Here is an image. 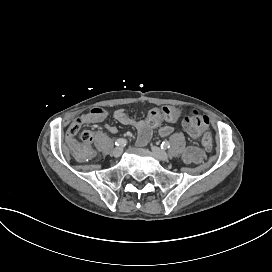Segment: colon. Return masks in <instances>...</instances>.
Wrapping results in <instances>:
<instances>
[{"label":"colon","instance_id":"5ec220e1","mask_svg":"<svg viewBox=\"0 0 272 272\" xmlns=\"http://www.w3.org/2000/svg\"><path fill=\"white\" fill-rule=\"evenodd\" d=\"M183 126L187 133L192 138L203 137L205 146L208 148L211 147L212 139L207 132L209 120L206 116H204L202 109L198 107H193L189 109L187 117H185L183 120ZM78 130H79L78 124L75 123L74 125L71 126L69 130V135L76 136L78 134ZM81 138L86 143L90 142L91 141L90 132H82Z\"/></svg>","mask_w":272,"mask_h":272}]
</instances>
